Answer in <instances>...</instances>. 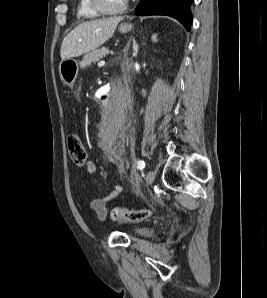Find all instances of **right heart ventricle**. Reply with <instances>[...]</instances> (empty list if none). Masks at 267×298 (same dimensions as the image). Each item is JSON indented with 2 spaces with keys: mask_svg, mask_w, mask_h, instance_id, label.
Here are the masks:
<instances>
[{
  "mask_svg": "<svg viewBox=\"0 0 267 298\" xmlns=\"http://www.w3.org/2000/svg\"><path fill=\"white\" fill-rule=\"evenodd\" d=\"M79 18L93 20L100 17V14L92 7L90 0H79L77 5Z\"/></svg>",
  "mask_w": 267,
  "mask_h": 298,
  "instance_id": "e07e8e85",
  "label": "right heart ventricle"
}]
</instances>
